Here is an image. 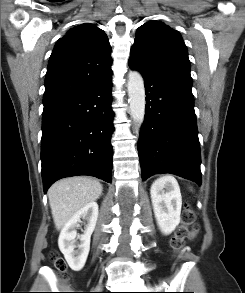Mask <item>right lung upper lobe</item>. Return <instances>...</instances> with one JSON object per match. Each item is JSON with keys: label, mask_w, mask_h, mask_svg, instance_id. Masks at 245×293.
<instances>
[{"label": "right lung upper lobe", "mask_w": 245, "mask_h": 293, "mask_svg": "<svg viewBox=\"0 0 245 293\" xmlns=\"http://www.w3.org/2000/svg\"><path fill=\"white\" fill-rule=\"evenodd\" d=\"M111 47L105 32L85 23L60 38L50 56L44 106L61 101L112 74Z\"/></svg>", "instance_id": "right-lung-upper-lobe-1"}]
</instances>
